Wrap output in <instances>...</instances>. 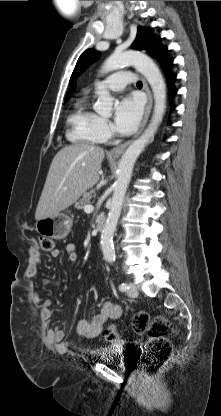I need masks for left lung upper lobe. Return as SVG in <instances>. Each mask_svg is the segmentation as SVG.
<instances>
[{
    "instance_id": "5c2ea615",
    "label": "left lung upper lobe",
    "mask_w": 221,
    "mask_h": 416,
    "mask_svg": "<svg viewBox=\"0 0 221 416\" xmlns=\"http://www.w3.org/2000/svg\"><path fill=\"white\" fill-rule=\"evenodd\" d=\"M155 38L147 34L145 29H138L137 36L132 46L136 50H147L148 52L154 46ZM97 58V53L94 49L86 50L78 59L75 69L72 73L70 81L79 74L88 64Z\"/></svg>"
}]
</instances>
